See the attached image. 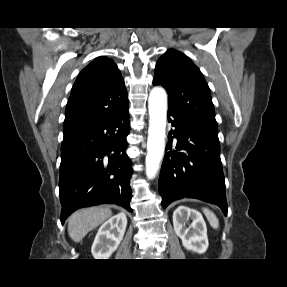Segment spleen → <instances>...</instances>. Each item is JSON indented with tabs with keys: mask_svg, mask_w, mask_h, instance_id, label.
I'll use <instances>...</instances> for the list:
<instances>
[{
	"mask_svg": "<svg viewBox=\"0 0 287 287\" xmlns=\"http://www.w3.org/2000/svg\"><path fill=\"white\" fill-rule=\"evenodd\" d=\"M204 214L206 215L210 225L214 228L217 229L219 227V220L216 217V215L209 209L204 208L203 209Z\"/></svg>",
	"mask_w": 287,
	"mask_h": 287,
	"instance_id": "obj_1",
	"label": "spleen"
}]
</instances>
